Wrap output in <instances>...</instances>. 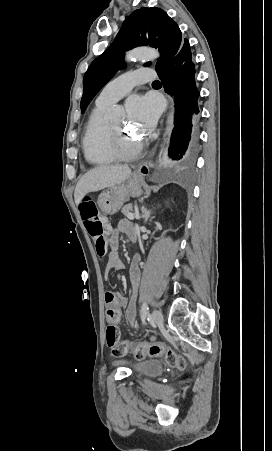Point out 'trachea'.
Segmentation results:
<instances>
[{"label": "trachea", "instance_id": "1", "mask_svg": "<svg viewBox=\"0 0 272 451\" xmlns=\"http://www.w3.org/2000/svg\"><path fill=\"white\" fill-rule=\"evenodd\" d=\"M156 83H160V82H158V80H155V81L153 82V84H156Z\"/></svg>", "mask_w": 272, "mask_h": 451}]
</instances>
